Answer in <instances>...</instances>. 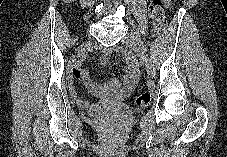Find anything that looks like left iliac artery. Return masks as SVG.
Instances as JSON below:
<instances>
[{
  "mask_svg": "<svg viewBox=\"0 0 227 157\" xmlns=\"http://www.w3.org/2000/svg\"><path fill=\"white\" fill-rule=\"evenodd\" d=\"M138 37H139V36H138ZM139 39H140V38H139ZM139 43L142 44V49H143V51H144V52H147V51H148V48L146 47L145 44H143V43H144V40H143V39H140V40H139Z\"/></svg>",
  "mask_w": 227,
  "mask_h": 157,
  "instance_id": "1",
  "label": "left iliac artery"
}]
</instances>
